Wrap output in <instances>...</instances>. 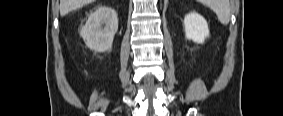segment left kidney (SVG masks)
<instances>
[{
  "mask_svg": "<svg viewBox=\"0 0 283 116\" xmlns=\"http://www.w3.org/2000/svg\"><path fill=\"white\" fill-rule=\"evenodd\" d=\"M185 36L196 43H204L209 36L207 21L198 13L191 12L184 18Z\"/></svg>",
  "mask_w": 283,
  "mask_h": 116,
  "instance_id": "5707ae66",
  "label": "left kidney"
}]
</instances>
